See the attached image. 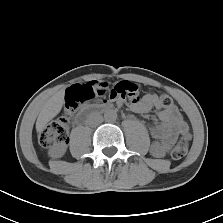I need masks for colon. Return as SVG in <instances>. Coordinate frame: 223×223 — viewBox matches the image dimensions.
Wrapping results in <instances>:
<instances>
[{
  "instance_id": "5ec220e1",
  "label": "colon",
  "mask_w": 223,
  "mask_h": 223,
  "mask_svg": "<svg viewBox=\"0 0 223 223\" xmlns=\"http://www.w3.org/2000/svg\"><path fill=\"white\" fill-rule=\"evenodd\" d=\"M138 91V86L130 81H120L110 89H108L106 84L96 81L72 85L65 94L66 117L47 125L39 134L40 145L50 147L56 143H64L67 140V122L81 103L103 96L107 92L110 99L135 98L138 95ZM159 104L164 108L169 107L172 105V99L168 95H162L159 98ZM188 146V137L181 136L172 148L171 156L174 159L184 157L188 151Z\"/></svg>"
}]
</instances>
